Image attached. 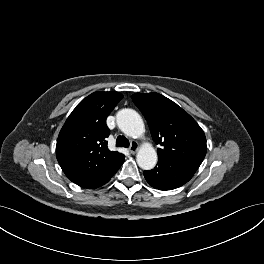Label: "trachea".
Returning <instances> with one entry per match:
<instances>
[{
  "instance_id": "obj_1",
  "label": "trachea",
  "mask_w": 264,
  "mask_h": 264,
  "mask_svg": "<svg viewBox=\"0 0 264 264\" xmlns=\"http://www.w3.org/2000/svg\"><path fill=\"white\" fill-rule=\"evenodd\" d=\"M130 143L128 139L124 136H118L116 139V146L117 147H129Z\"/></svg>"
}]
</instances>
